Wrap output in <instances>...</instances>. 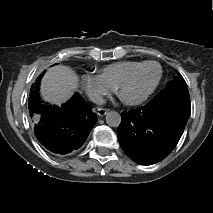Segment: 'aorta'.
Instances as JSON below:
<instances>
[{"instance_id": "762f6f07", "label": "aorta", "mask_w": 213, "mask_h": 213, "mask_svg": "<svg viewBox=\"0 0 213 213\" xmlns=\"http://www.w3.org/2000/svg\"><path fill=\"white\" fill-rule=\"evenodd\" d=\"M105 119L107 125L110 127H118L121 123V115L116 111H108Z\"/></svg>"}]
</instances>
